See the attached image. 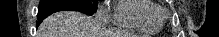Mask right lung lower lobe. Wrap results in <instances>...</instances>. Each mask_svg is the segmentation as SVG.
Segmentation results:
<instances>
[{
    "label": "right lung lower lobe",
    "instance_id": "98d812e1",
    "mask_svg": "<svg viewBox=\"0 0 219 37\" xmlns=\"http://www.w3.org/2000/svg\"><path fill=\"white\" fill-rule=\"evenodd\" d=\"M62 10L77 11L74 8L70 7V6H65V5L49 7L47 9L40 10L38 12V23L37 24H40L47 16L51 15L52 13L62 11Z\"/></svg>",
    "mask_w": 219,
    "mask_h": 37
}]
</instances>
